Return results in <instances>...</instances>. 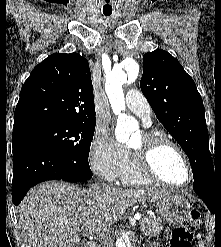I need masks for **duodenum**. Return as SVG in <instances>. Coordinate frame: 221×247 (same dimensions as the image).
<instances>
[{
    "instance_id": "obj_1",
    "label": "duodenum",
    "mask_w": 221,
    "mask_h": 247,
    "mask_svg": "<svg viewBox=\"0 0 221 247\" xmlns=\"http://www.w3.org/2000/svg\"><path fill=\"white\" fill-rule=\"evenodd\" d=\"M88 247H94V244H89Z\"/></svg>"
}]
</instances>
